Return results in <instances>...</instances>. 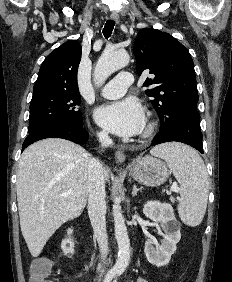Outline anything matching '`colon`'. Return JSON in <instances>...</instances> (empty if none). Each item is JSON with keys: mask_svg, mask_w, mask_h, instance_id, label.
Wrapping results in <instances>:
<instances>
[{"mask_svg": "<svg viewBox=\"0 0 232 282\" xmlns=\"http://www.w3.org/2000/svg\"><path fill=\"white\" fill-rule=\"evenodd\" d=\"M52 264L45 258L37 259L30 268L29 282H53L51 279Z\"/></svg>", "mask_w": 232, "mask_h": 282, "instance_id": "colon-1", "label": "colon"}]
</instances>
